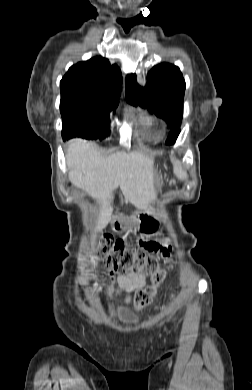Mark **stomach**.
I'll list each match as a JSON object with an SVG mask.
<instances>
[{"label":"stomach","instance_id":"stomach-1","mask_svg":"<svg viewBox=\"0 0 252 390\" xmlns=\"http://www.w3.org/2000/svg\"><path fill=\"white\" fill-rule=\"evenodd\" d=\"M158 183V180H156ZM159 216L157 212L150 208L148 210L139 211L129 218L116 217L112 220V228L114 231L127 230L130 225H134L143 233L150 234L159 224Z\"/></svg>","mask_w":252,"mask_h":390}]
</instances>
